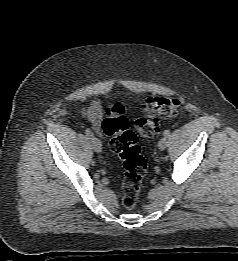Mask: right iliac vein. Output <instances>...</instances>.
<instances>
[{
	"mask_svg": "<svg viewBox=\"0 0 238 261\" xmlns=\"http://www.w3.org/2000/svg\"><path fill=\"white\" fill-rule=\"evenodd\" d=\"M92 146L95 152L100 153L102 151L101 142L96 138H91Z\"/></svg>",
	"mask_w": 238,
	"mask_h": 261,
	"instance_id": "right-iliac-vein-1",
	"label": "right iliac vein"
}]
</instances>
